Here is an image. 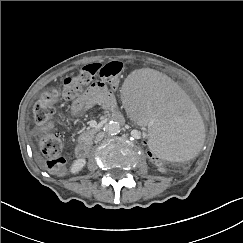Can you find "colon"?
Masks as SVG:
<instances>
[{
  "label": "colon",
  "instance_id": "1",
  "mask_svg": "<svg viewBox=\"0 0 243 243\" xmlns=\"http://www.w3.org/2000/svg\"><path fill=\"white\" fill-rule=\"evenodd\" d=\"M123 68V63L119 61H113L105 65L90 64L84 66L78 74L64 80L61 93L58 90L45 92L34 104L32 110L34 125L35 129L41 134L40 147L46 157V167L51 173L62 175L66 170L65 159L61 154L62 142L53 134L56 126L54 114L60 98L75 99L85 87L97 81L115 88L119 84ZM139 145L146 160L157 167L169 169L172 166L175 170H182L193 166L191 161L174 162L172 164L171 161L156 156L146 139H141Z\"/></svg>",
  "mask_w": 243,
  "mask_h": 243
}]
</instances>
